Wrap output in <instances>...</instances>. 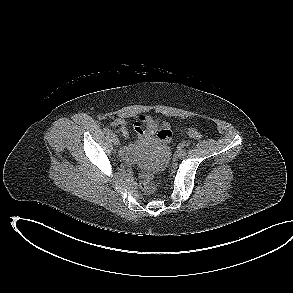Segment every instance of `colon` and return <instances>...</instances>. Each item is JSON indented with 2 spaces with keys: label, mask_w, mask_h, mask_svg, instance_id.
Returning <instances> with one entry per match:
<instances>
[{
  "label": "colon",
  "mask_w": 293,
  "mask_h": 293,
  "mask_svg": "<svg viewBox=\"0 0 293 293\" xmlns=\"http://www.w3.org/2000/svg\"><path fill=\"white\" fill-rule=\"evenodd\" d=\"M188 135L194 139H201L202 138V134L193 128L188 130ZM157 137L161 143L168 144V143H170V141L172 139V131L168 128H163V129L159 130ZM157 184L158 183H156L155 181L152 180L150 175H148V174L142 175V180L140 182V188L145 194L154 193L156 191Z\"/></svg>",
  "instance_id": "1"
}]
</instances>
